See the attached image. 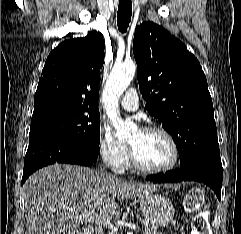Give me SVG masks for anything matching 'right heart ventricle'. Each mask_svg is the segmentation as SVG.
I'll use <instances>...</instances> for the list:
<instances>
[{
  "label": "right heart ventricle",
  "instance_id": "obj_1",
  "mask_svg": "<svg viewBox=\"0 0 241 234\" xmlns=\"http://www.w3.org/2000/svg\"><path fill=\"white\" fill-rule=\"evenodd\" d=\"M130 165V162H129V154L127 155V158H126V161H125V164H124V167H128Z\"/></svg>",
  "mask_w": 241,
  "mask_h": 234
}]
</instances>
